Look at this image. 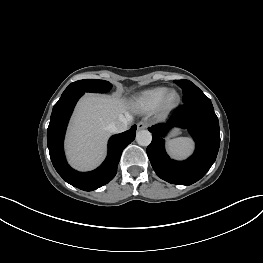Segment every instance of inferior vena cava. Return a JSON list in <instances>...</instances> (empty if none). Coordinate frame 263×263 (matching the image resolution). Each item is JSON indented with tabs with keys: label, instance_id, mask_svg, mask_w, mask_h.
Returning a JSON list of instances; mask_svg holds the SVG:
<instances>
[{
	"label": "inferior vena cava",
	"instance_id": "1",
	"mask_svg": "<svg viewBox=\"0 0 263 263\" xmlns=\"http://www.w3.org/2000/svg\"><path fill=\"white\" fill-rule=\"evenodd\" d=\"M131 122V117L121 116L117 120L111 122L107 129L111 133H121L128 129V125Z\"/></svg>",
	"mask_w": 263,
	"mask_h": 263
}]
</instances>
